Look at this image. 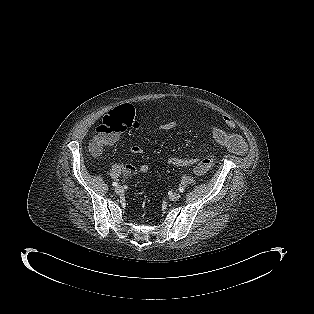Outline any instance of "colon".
I'll list each match as a JSON object with an SVG mask.
<instances>
[{"instance_id":"obj_1","label":"colon","mask_w":314,"mask_h":314,"mask_svg":"<svg viewBox=\"0 0 314 314\" xmlns=\"http://www.w3.org/2000/svg\"><path fill=\"white\" fill-rule=\"evenodd\" d=\"M136 126L135 112L131 105L123 104L102 120V123L93 131L90 149L98 154L102 148L111 143L115 137L121 133ZM218 161V155L214 152L209 153L202 158L195 167L197 174H202L212 168Z\"/></svg>"}]
</instances>
